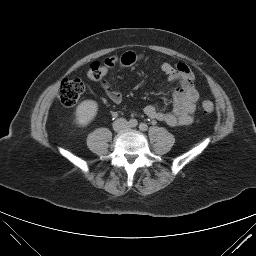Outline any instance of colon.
I'll use <instances>...</instances> for the list:
<instances>
[{
    "mask_svg": "<svg viewBox=\"0 0 256 256\" xmlns=\"http://www.w3.org/2000/svg\"><path fill=\"white\" fill-rule=\"evenodd\" d=\"M87 76L92 80H100L103 77V64L93 62L88 69ZM83 91L84 84L81 79H64L58 89V98L64 106L72 107L78 102ZM202 108L206 114L214 111V105L209 100L202 103Z\"/></svg>",
    "mask_w": 256,
    "mask_h": 256,
    "instance_id": "1",
    "label": "colon"
}]
</instances>
